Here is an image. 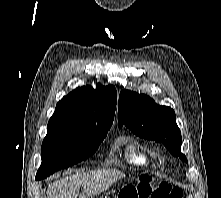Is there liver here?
<instances>
[{
  "mask_svg": "<svg viewBox=\"0 0 221 198\" xmlns=\"http://www.w3.org/2000/svg\"><path fill=\"white\" fill-rule=\"evenodd\" d=\"M123 177L125 175L116 169L77 172L50 183L47 198H78L81 186L84 192L79 198H93Z\"/></svg>",
  "mask_w": 221,
  "mask_h": 198,
  "instance_id": "1",
  "label": "liver"
}]
</instances>
